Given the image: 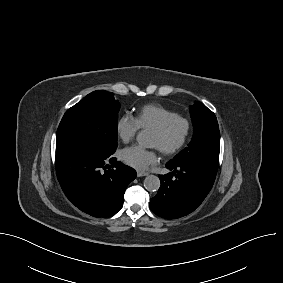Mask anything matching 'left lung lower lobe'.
Listing matches in <instances>:
<instances>
[{"instance_id":"1","label":"left lung lower lobe","mask_w":283,"mask_h":283,"mask_svg":"<svg viewBox=\"0 0 283 283\" xmlns=\"http://www.w3.org/2000/svg\"><path fill=\"white\" fill-rule=\"evenodd\" d=\"M171 173L160 175L161 186L150 199L149 207L156 215L176 219L193 212L210 192L216 173L200 162L173 163Z\"/></svg>"}]
</instances>
